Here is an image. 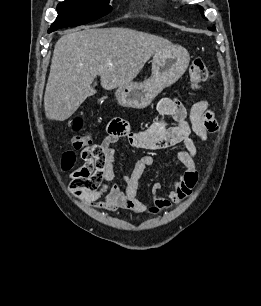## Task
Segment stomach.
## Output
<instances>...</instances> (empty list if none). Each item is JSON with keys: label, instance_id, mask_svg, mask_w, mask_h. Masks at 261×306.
<instances>
[{"label": "stomach", "instance_id": "stomach-1", "mask_svg": "<svg viewBox=\"0 0 261 306\" xmlns=\"http://www.w3.org/2000/svg\"><path fill=\"white\" fill-rule=\"evenodd\" d=\"M190 61L188 51L179 45L159 50L152 60V74L142 82H131L115 91L123 107L143 109L166 87L174 84L186 71Z\"/></svg>", "mask_w": 261, "mask_h": 306}]
</instances>
